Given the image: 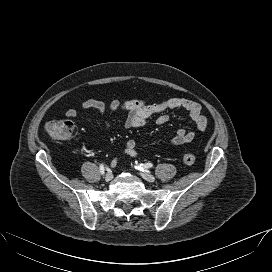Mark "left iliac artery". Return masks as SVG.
Returning a JSON list of instances; mask_svg holds the SVG:
<instances>
[{
    "mask_svg": "<svg viewBox=\"0 0 272 272\" xmlns=\"http://www.w3.org/2000/svg\"><path fill=\"white\" fill-rule=\"evenodd\" d=\"M153 164L152 163H146V164H139L138 166H135L136 169L140 170V171H145L147 168L152 167Z\"/></svg>",
    "mask_w": 272,
    "mask_h": 272,
    "instance_id": "1",
    "label": "left iliac artery"
}]
</instances>
